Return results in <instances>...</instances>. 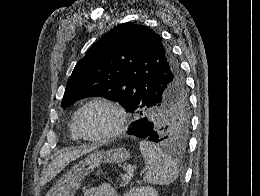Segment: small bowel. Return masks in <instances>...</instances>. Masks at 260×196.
<instances>
[{
  "instance_id": "obj_1",
  "label": "small bowel",
  "mask_w": 260,
  "mask_h": 196,
  "mask_svg": "<svg viewBox=\"0 0 260 196\" xmlns=\"http://www.w3.org/2000/svg\"><path fill=\"white\" fill-rule=\"evenodd\" d=\"M85 196H117V193L111 184L103 183L99 186L89 188Z\"/></svg>"
}]
</instances>
